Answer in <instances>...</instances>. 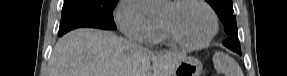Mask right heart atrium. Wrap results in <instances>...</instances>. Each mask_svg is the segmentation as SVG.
I'll return each instance as SVG.
<instances>
[{"label":"right heart atrium","instance_id":"obj_1","mask_svg":"<svg viewBox=\"0 0 287 76\" xmlns=\"http://www.w3.org/2000/svg\"><path fill=\"white\" fill-rule=\"evenodd\" d=\"M115 21L128 38L151 43L156 34L154 19L147 16L138 0H122L115 12Z\"/></svg>","mask_w":287,"mask_h":76}]
</instances>
